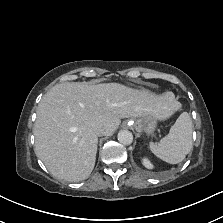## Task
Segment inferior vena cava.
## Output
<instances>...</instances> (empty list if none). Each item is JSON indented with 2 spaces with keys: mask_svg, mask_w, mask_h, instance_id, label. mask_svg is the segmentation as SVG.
Listing matches in <instances>:
<instances>
[{
  "mask_svg": "<svg viewBox=\"0 0 223 223\" xmlns=\"http://www.w3.org/2000/svg\"><path fill=\"white\" fill-rule=\"evenodd\" d=\"M94 131L98 136L105 135V127L103 125H96Z\"/></svg>",
  "mask_w": 223,
  "mask_h": 223,
  "instance_id": "1",
  "label": "inferior vena cava"
}]
</instances>
